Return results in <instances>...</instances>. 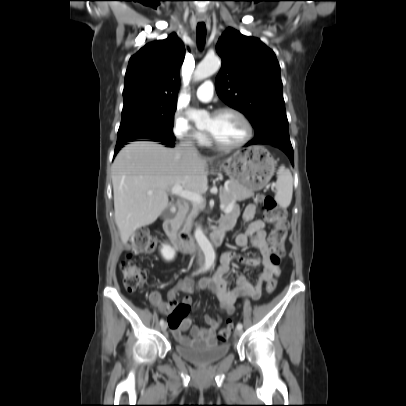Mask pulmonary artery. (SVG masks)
<instances>
[{"instance_id": "obj_1", "label": "pulmonary artery", "mask_w": 406, "mask_h": 406, "mask_svg": "<svg viewBox=\"0 0 406 406\" xmlns=\"http://www.w3.org/2000/svg\"><path fill=\"white\" fill-rule=\"evenodd\" d=\"M214 85L211 81L203 82L196 90V97L203 102L210 101L213 97Z\"/></svg>"}]
</instances>
